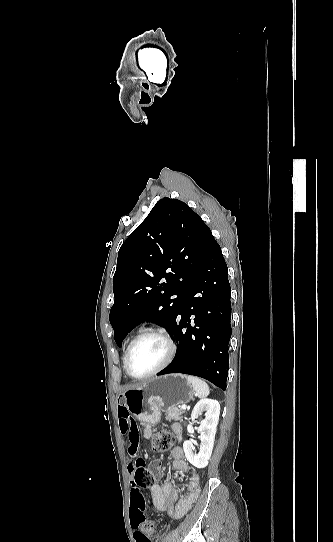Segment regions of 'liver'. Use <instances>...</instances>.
Returning a JSON list of instances; mask_svg holds the SVG:
<instances>
[{
	"instance_id": "6515ba94",
	"label": "liver",
	"mask_w": 333,
	"mask_h": 542,
	"mask_svg": "<svg viewBox=\"0 0 333 542\" xmlns=\"http://www.w3.org/2000/svg\"><path fill=\"white\" fill-rule=\"evenodd\" d=\"M129 390H133V388H129Z\"/></svg>"
}]
</instances>
